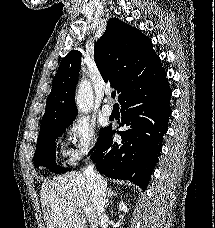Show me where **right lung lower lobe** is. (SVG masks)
<instances>
[{"instance_id": "right-lung-lower-lobe-1", "label": "right lung lower lobe", "mask_w": 215, "mask_h": 228, "mask_svg": "<svg viewBox=\"0 0 215 228\" xmlns=\"http://www.w3.org/2000/svg\"><path fill=\"white\" fill-rule=\"evenodd\" d=\"M171 94L166 74L140 80L128 88L120 102V126L126 124L130 129L119 132L122 141L118 143L113 141L115 131L109 126L103 141L91 155L99 172L146 189L158 162L163 135L168 130Z\"/></svg>"}]
</instances>
